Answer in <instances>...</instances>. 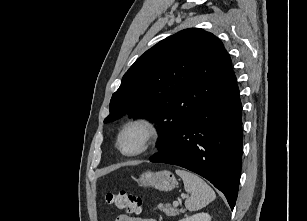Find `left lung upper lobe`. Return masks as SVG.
<instances>
[{"instance_id":"1","label":"left lung upper lobe","mask_w":307,"mask_h":221,"mask_svg":"<svg viewBox=\"0 0 307 221\" xmlns=\"http://www.w3.org/2000/svg\"><path fill=\"white\" fill-rule=\"evenodd\" d=\"M221 41L199 28L182 30L142 54L112 95L104 122L125 114L161 128L158 150L234 77Z\"/></svg>"}]
</instances>
